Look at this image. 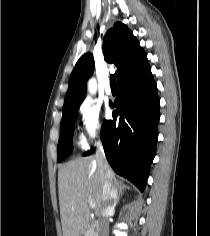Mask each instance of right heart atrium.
<instances>
[{"label":"right heart atrium","instance_id":"1","mask_svg":"<svg viewBox=\"0 0 210 236\" xmlns=\"http://www.w3.org/2000/svg\"><path fill=\"white\" fill-rule=\"evenodd\" d=\"M79 113L83 138L86 142H92L97 139L102 132L103 120L101 109L93 101L86 100L81 104Z\"/></svg>","mask_w":210,"mask_h":236}]
</instances>
